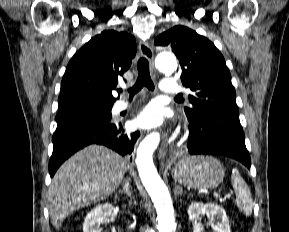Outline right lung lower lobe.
Returning <instances> with one entry per match:
<instances>
[{
  "label": "right lung lower lobe",
  "instance_id": "98d812e1",
  "mask_svg": "<svg viewBox=\"0 0 289 232\" xmlns=\"http://www.w3.org/2000/svg\"><path fill=\"white\" fill-rule=\"evenodd\" d=\"M139 133L124 132L120 123L101 121H72L58 123L53 135V154L49 161V173L53 177L58 167L73 153L96 143L105 145L122 156L133 152Z\"/></svg>",
  "mask_w": 289,
  "mask_h": 232
}]
</instances>
